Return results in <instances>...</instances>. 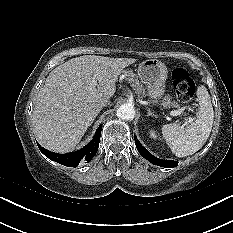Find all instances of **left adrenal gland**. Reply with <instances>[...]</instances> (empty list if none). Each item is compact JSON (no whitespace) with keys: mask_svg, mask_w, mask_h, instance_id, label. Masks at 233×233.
<instances>
[{"mask_svg":"<svg viewBox=\"0 0 233 233\" xmlns=\"http://www.w3.org/2000/svg\"><path fill=\"white\" fill-rule=\"evenodd\" d=\"M147 116H152V117H155L157 118L158 116L155 115L153 112L150 111V109H148V113H147Z\"/></svg>","mask_w":233,"mask_h":233,"instance_id":"a2214340","label":"left adrenal gland"}]
</instances>
